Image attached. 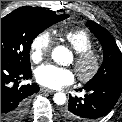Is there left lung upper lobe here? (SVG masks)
Listing matches in <instances>:
<instances>
[{
	"label": "left lung upper lobe",
	"mask_w": 122,
	"mask_h": 122,
	"mask_svg": "<svg viewBox=\"0 0 122 122\" xmlns=\"http://www.w3.org/2000/svg\"><path fill=\"white\" fill-rule=\"evenodd\" d=\"M86 26L98 38L102 45L104 59L97 74L86 84L87 86L119 83L122 84V53L112 35L94 21H88Z\"/></svg>",
	"instance_id": "left-lung-upper-lobe-1"
}]
</instances>
